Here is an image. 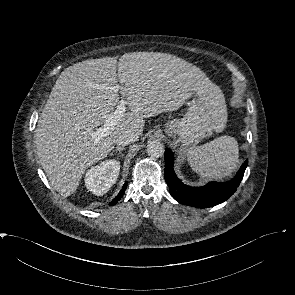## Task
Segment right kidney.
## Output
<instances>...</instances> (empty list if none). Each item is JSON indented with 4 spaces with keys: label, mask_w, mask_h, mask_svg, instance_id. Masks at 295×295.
<instances>
[{
    "label": "right kidney",
    "mask_w": 295,
    "mask_h": 295,
    "mask_svg": "<svg viewBox=\"0 0 295 295\" xmlns=\"http://www.w3.org/2000/svg\"><path fill=\"white\" fill-rule=\"evenodd\" d=\"M120 170V162L114 159L105 160L91 167L85 174V185L93 194H105L115 184Z\"/></svg>",
    "instance_id": "ca27d5eb"
}]
</instances>
